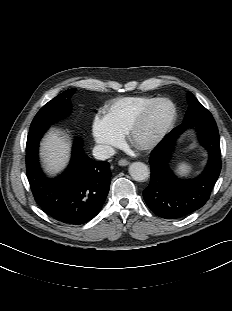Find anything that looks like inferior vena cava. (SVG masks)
<instances>
[{
  "label": "inferior vena cava",
  "mask_w": 232,
  "mask_h": 311,
  "mask_svg": "<svg viewBox=\"0 0 232 311\" xmlns=\"http://www.w3.org/2000/svg\"><path fill=\"white\" fill-rule=\"evenodd\" d=\"M115 154V150L108 145H96L93 148V156L97 160H106Z\"/></svg>",
  "instance_id": "obj_1"
}]
</instances>
